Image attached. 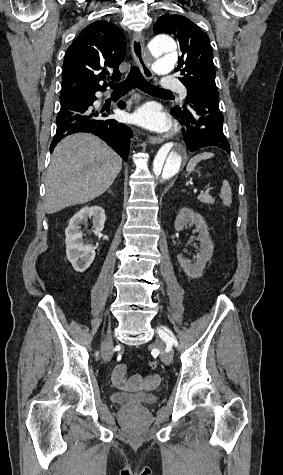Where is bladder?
Masks as SVG:
<instances>
[{
	"label": "bladder",
	"mask_w": 283,
	"mask_h": 475,
	"mask_svg": "<svg viewBox=\"0 0 283 475\" xmlns=\"http://www.w3.org/2000/svg\"><path fill=\"white\" fill-rule=\"evenodd\" d=\"M109 396L115 400H119L126 405H135L139 407H146L149 404H154L158 401V394L140 395L136 393L126 392L117 393L110 392Z\"/></svg>",
	"instance_id": "obj_1"
}]
</instances>
